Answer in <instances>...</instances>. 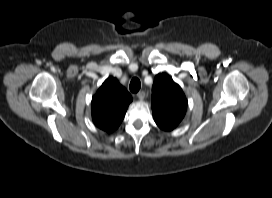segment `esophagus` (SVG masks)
Listing matches in <instances>:
<instances>
[{
  "label": "esophagus",
  "instance_id": "obj_1",
  "mask_svg": "<svg viewBox=\"0 0 272 198\" xmlns=\"http://www.w3.org/2000/svg\"><path fill=\"white\" fill-rule=\"evenodd\" d=\"M137 98L142 101L145 98V92L144 91H140L137 93Z\"/></svg>",
  "mask_w": 272,
  "mask_h": 198
}]
</instances>
